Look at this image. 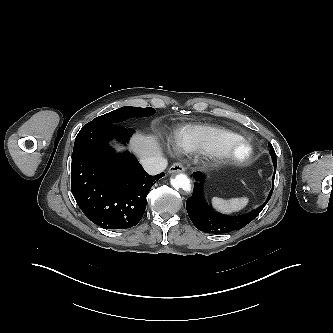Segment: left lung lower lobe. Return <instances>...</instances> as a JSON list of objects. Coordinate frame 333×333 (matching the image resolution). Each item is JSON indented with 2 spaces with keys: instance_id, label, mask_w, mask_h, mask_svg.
<instances>
[{
  "instance_id": "obj_1",
  "label": "left lung lower lobe",
  "mask_w": 333,
  "mask_h": 333,
  "mask_svg": "<svg viewBox=\"0 0 333 333\" xmlns=\"http://www.w3.org/2000/svg\"><path fill=\"white\" fill-rule=\"evenodd\" d=\"M274 175L272 178L273 187L268 195L267 200L259 206L256 210L238 217H229L214 212L212 208L206 203L203 197V183L205 176L202 173H194L193 177L196 180L194 184V190L192 196L187 199L186 208L188 215L194 224V226L204 232H210L214 234H224L234 230H238L253 219H255L268 201L271 198L273 188L276 167H274Z\"/></svg>"
}]
</instances>
